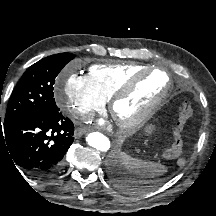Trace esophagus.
<instances>
[{
    "label": "esophagus",
    "instance_id": "34e87169",
    "mask_svg": "<svg viewBox=\"0 0 216 216\" xmlns=\"http://www.w3.org/2000/svg\"><path fill=\"white\" fill-rule=\"evenodd\" d=\"M86 129L85 128H81V127H77L74 131L75 136L76 137H80L81 135H83L84 133H86Z\"/></svg>",
    "mask_w": 216,
    "mask_h": 216
}]
</instances>
